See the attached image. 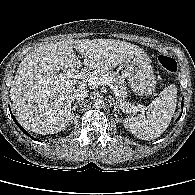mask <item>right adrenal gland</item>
Masks as SVG:
<instances>
[{"instance_id": "1", "label": "right adrenal gland", "mask_w": 195, "mask_h": 195, "mask_svg": "<svg viewBox=\"0 0 195 195\" xmlns=\"http://www.w3.org/2000/svg\"><path fill=\"white\" fill-rule=\"evenodd\" d=\"M78 105H80L79 103H75L73 106H72V112L73 111H76V107L78 106ZM75 114H74V112H73V116H74Z\"/></svg>"}]
</instances>
